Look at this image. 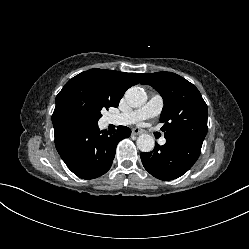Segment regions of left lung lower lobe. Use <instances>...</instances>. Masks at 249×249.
Masks as SVG:
<instances>
[{
	"instance_id": "0a47b994",
	"label": "left lung lower lobe",
	"mask_w": 249,
	"mask_h": 249,
	"mask_svg": "<svg viewBox=\"0 0 249 249\" xmlns=\"http://www.w3.org/2000/svg\"><path fill=\"white\" fill-rule=\"evenodd\" d=\"M202 140L177 136L166 138L163 146L158 144L152 152L141 153L144 168L161 180H173L186 173L197 161Z\"/></svg>"
}]
</instances>
